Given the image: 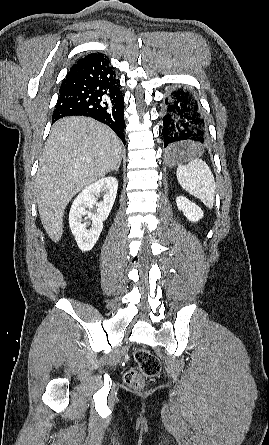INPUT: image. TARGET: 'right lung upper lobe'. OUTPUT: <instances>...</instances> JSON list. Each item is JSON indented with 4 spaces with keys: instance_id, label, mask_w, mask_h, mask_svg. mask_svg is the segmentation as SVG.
Returning <instances> with one entry per match:
<instances>
[{
    "instance_id": "obj_1",
    "label": "right lung upper lobe",
    "mask_w": 269,
    "mask_h": 445,
    "mask_svg": "<svg viewBox=\"0 0 269 445\" xmlns=\"http://www.w3.org/2000/svg\"><path fill=\"white\" fill-rule=\"evenodd\" d=\"M97 54H100V53H97ZM97 54H89V55L85 56L84 58H82L81 60H79L77 63H80V62H83L85 60H88V59L94 57Z\"/></svg>"
}]
</instances>
